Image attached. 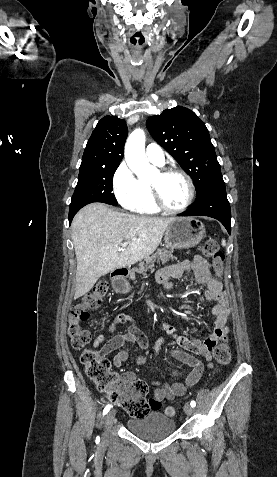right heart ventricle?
Listing matches in <instances>:
<instances>
[{"instance_id":"obj_1","label":"right heart ventricle","mask_w":277,"mask_h":477,"mask_svg":"<svg viewBox=\"0 0 277 477\" xmlns=\"http://www.w3.org/2000/svg\"><path fill=\"white\" fill-rule=\"evenodd\" d=\"M139 214L154 215L159 213V209L156 207L149 184L145 181H140V198L135 206L131 209Z\"/></svg>"}]
</instances>
